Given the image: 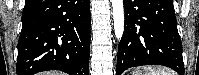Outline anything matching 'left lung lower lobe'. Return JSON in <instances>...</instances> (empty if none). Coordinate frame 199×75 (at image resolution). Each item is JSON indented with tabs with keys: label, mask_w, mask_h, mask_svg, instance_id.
I'll list each match as a JSON object with an SVG mask.
<instances>
[{
	"label": "left lung lower lobe",
	"mask_w": 199,
	"mask_h": 75,
	"mask_svg": "<svg viewBox=\"0 0 199 75\" xmlns=\"http://www.w3.org/2000/svg\"><path fill=\"white\" fill-rule=\"evenodd\" d=\"M124 33L116 75L131 67L164 65L184 75L182 43L172 0H123Z\"/></svg>",
	"instance_id": "1"
}]
</instances>
